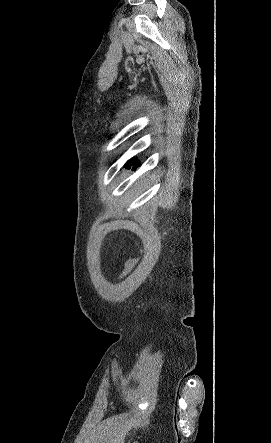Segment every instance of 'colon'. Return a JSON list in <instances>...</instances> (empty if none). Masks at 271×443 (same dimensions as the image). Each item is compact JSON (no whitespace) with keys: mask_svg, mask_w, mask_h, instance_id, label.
<instances>
[{"mask_svg":"<svg viewBox=\"0 0 271 443\" xmlns=\"http://www.w3.org/2000/svg\"><path fill=\"white\" fill-rule=\"evenodd\" d=\"M137 262H138V258H132V259H130V260L126 263V266H125V269H124V271H123V273H122V276H125V275H127L129 272H131V271L133 270V268L135 267V265L137 264Z\"/></svg>","mask_w":271,"mask_h":443,"instance_id":"1","label":"colon"}]
</instances>
